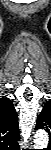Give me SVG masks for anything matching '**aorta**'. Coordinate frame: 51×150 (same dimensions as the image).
I'll return each mask as SVG.
<instances>
[{
  "mask_svg": "<svg viewBox=\"0 0 51 150\" xmlns=\"http://www.w3.org/2000/svg\"><path fill=\"white\" fill-rule=\"evenodd\" d=\"M48 144V134L44 130H38L34 136V147L37 149L45 148Z\"/></svg>",
  "mask_w": 51,
  "mask_h": 150,
  "instance_id": "762f6f07",
  "label": "aorta"
}]
</instances>
